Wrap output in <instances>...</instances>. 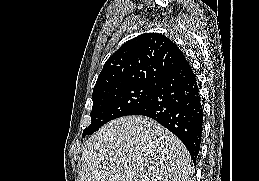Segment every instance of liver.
<instances>
[{
	"instance_id": "1",
	"label": "liver",
	"mask_w": 259,
	"mask_h": 181,
	"mask_svg": "<svg viewBox=\"0 0 259 181\" xmlns=\"http://www.w3.org/2000/svg\"><path fill=\"white\" fill-rule=\"evenodd\" d=\"M81 181H193L184 144L144 116L115 119L83 149Z\"/></svg>"
}]
</instances>
